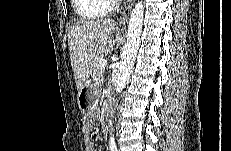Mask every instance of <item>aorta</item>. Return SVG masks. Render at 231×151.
I'll list each match as a JSON object with an SVG mask.
<instances>
[{
	"label": "aorta",
	"mask_w": 231,
	"mask_h": 151,
	"mask_svg": "<svg viewBox=\"0 0 231 151\" xmlns=\"http://www.w3.org/2000/svg\"><path fill=\"white\" fill-rule=\"evenodd\" d=\"M144 17V2L142 0L136 3L133 8L127 30V42L119 63V75L116 83V92L120 93L126 86L132 68L135 63L137 51L140 45V35ZM110 142L114 143V137H110Z\"/></svg>",
	"instance_id": "762f6f07"
}]
</instances>
